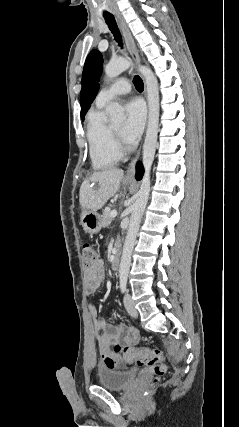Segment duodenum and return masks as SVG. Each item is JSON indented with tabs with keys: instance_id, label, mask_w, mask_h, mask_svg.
<instances>
[{
	"instance_id": "obj_1",
	"label": "duodenum",
	"mask_w": 239,
	"mask_h": 427,
	"mask_svg": "<svg viewBox=\"0 0 239 427\" xmlns=\"http://www.w3.org/2000/svg\"><path fill=\"white\" fill-rule=\"evenodd\" d=\"M111 266L112 269L114 271H117L119 269L120 266V252L118 250H116L114 252L113 258H112V262H111Z\"/></svg>"
}]
</instances>
